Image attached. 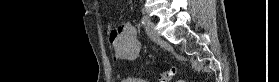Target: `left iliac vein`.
I'll use <instances>...</instances> for the list:
<instances>
[{
    "label": "left iliac vein",
    "instance_id": "4c4485c4",
    "mask_svg": "<svg viewBox=\"0 0 279 82\" xmlns=\"http://www.w3.org/2000/svg\"><path fill=\"white\" fill-rule=\"evenodd\" d=\"M145 29H146L147 35L149 36L150 39L157 40L159 38V35L156 31L155 23H153V22L146 23Z\"/></svg>",
    "mask_w": 279,
    "mask_h": 82
}]
</instances>
